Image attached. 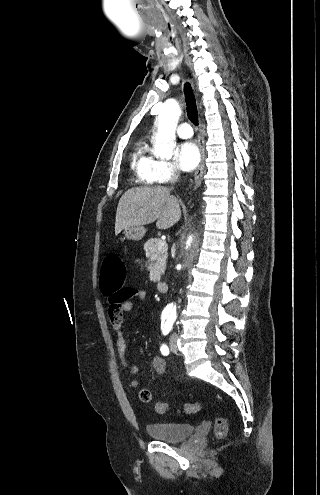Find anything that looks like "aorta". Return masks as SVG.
I'll use <instances>...</instances> for the list:
<instances>
[{
    "label": "aorta",
    "mask_w": 320,
    "mask_h": 495,
    "mask_svg": "<svg viewBox=\"0 0 320 495\" xmlns=\"http://www.w3.org/2000/svg\"><path fill=\"white\" fill-rule=\"evenodd\" d=\"M181 115V109L175 99H168L159 109L155 119L157 131L154 141V153L157 156L171 158L174 154L176 146V127ZM200 234V226H195L186 235L184 240V249L179 263L184 265L186 257L196 253L197 239ZM167 309L175 310L173 304H170Z\"/></svg>",
    "instance_id": "aorta-1"
}]
</instances>
